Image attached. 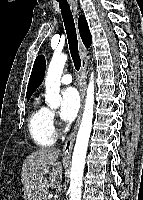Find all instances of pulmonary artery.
Masks as SVG:
<instances>
[{"instance_id":"1","label":"pulmonary artery","mask_w":143,"mask_h":200,"mask_svg":"<svg viewBox=\"0 0 143 200\" xmlns=\"http://www.w3.org/2000/svg\"><path fill=\"white\" fill-rule=\"evenodd\" d=\"M63 84H70L72 82V76L70 74H65L61 78Z\"/></svg>"}]
</instances>
